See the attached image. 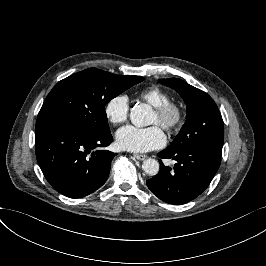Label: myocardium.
I'll return each instance as SVG.
<instances>
[{
	"instance_id": "myocardium-1",
	"label": "myocardium",
	"mask_w": 266,
	"mask_h": 266,
	"mask_svg": "<svg viewBox=\"0 0 266 266\" xmlns=\"http://www.w3.org/2000/svg\"><path fill=\"white\" fill-rule=\"evenodd\" d=\"M154 112L160 118V125L168 132L177 131L183 125L186 117L184 107L174 101L154 107Z\"/></svg>"
}]
</instances>
